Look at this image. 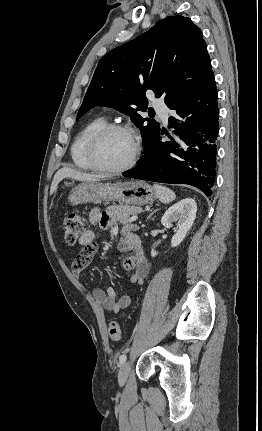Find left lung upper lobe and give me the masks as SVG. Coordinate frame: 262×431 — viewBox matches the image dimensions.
Returning a JSON list of instances; mask_svg holds the SVG:
<instances>
[{
	"mask_svg": "<svg viewBox=\"0 0 262 431\" xmlns=\"http://www.w3.org/2000/svg\"><path fill=\"white\" fill-rule=\"evenodd\" d=\"M212 78L211 61L201 30L188 17L169 16L102 57L77 120L96 105L113 107L130 115L141 129L146 148L160 130L159 123L136 113L147 111L146 90H152L156 97L163 96L171 108L203 88Z\"/></svg>",
	"mask_w": 262,
	"mask_h": 431,
	"instance_id": "5c2ea615",
	"label": "left lung upper lobe"
}]
</instances>
